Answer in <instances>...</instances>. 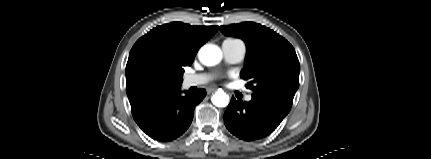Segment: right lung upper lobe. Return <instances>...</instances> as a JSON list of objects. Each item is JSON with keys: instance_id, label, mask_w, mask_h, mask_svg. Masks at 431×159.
<instances>
[{"instance_id": "obj_1", "label": "right lung upper lobe", "mask_w": 431, "mask_h": 159, "mask_svg": "<svg viewBox=\"0 0 431 159\" xmlns=\"http://www.w3.org/2000/svg\"><path fill=\"white\" fill-rule=\"evenodd\" d=\"M218 26L172 22L153 28L132 47L126 65V90L131 108L147 99L180 88L160 66H190L199 48Z\"/></svg>"}]
</instances>
